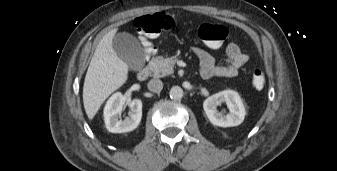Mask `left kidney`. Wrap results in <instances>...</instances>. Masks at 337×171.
<instances>
[{"mask_svg":"<svg viewBox=\"0 0 337 171\" xmlns=\"http://www.w3.org/2000/svg\"><path fill=\"white\" fill-rule=\"evenodd\" d=\"M225 102L229 113L217 111V106ZM204 111L213 125L233 127L240 125L245 117V107L239 94L233 90H224L213 94L203 102Z\"/></svg>","mask_w":337,"mask_h":171,"instance_id":"left-kidney-1","label":"left kidney"}]
</instances>
